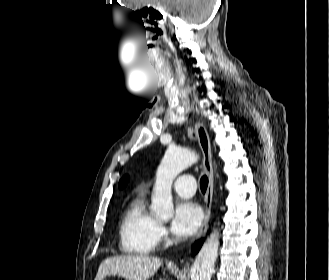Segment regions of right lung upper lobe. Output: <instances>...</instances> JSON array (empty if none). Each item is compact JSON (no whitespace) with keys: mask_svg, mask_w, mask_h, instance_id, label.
<instances>
[{"mask_svg":"<svg viewBox=\"0 0 329 280\" xmlns=\"http://www.w3.org/2000/svg\"><path fill=\"white\" fill-rule=\"evenodd\" d=\"M127 181H128V176L123 177V178L120 180L119 187H120V188L124 187V186L127 184Z\"/></svg>","mask_w":329,"mask_h":280,"instance_id":"right-lung-upper-lobe-1","label":"right lung upper lobe"}]
</instances>
